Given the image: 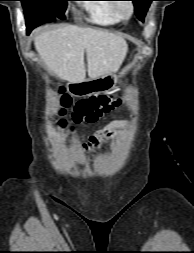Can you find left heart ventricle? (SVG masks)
Segmentation results:
<instances>
[{
    "instance_id": "1",
    "label": "left heart ventricle",
    "mask_w": 194,
    "mask_h": 253,
    "mask_svg": "<svg viewBox=\"0 0 194 253\" xmlns=\"http://www.w3.org/2000/svg\"><path fill=\"white\" fill-rule=\"evenodd\" d=\"M120 7L124 13H128L130 5L128 2H120Z\"/></svg>"
}]
</instances>
